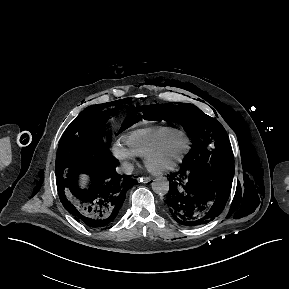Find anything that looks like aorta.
<instances>
[{"mask_svg": "<svg viewBox=\"0 0 289 289\" xmlns=\"http://www.w3.org/2000/svg\"><path fill=\"white\" fill-rule=\"evenodd\" d=\"M152 190L158 195H166L169 191L168 179L165 177H161L153 180Z\"/></svg>", "mask_w": 289, "mask_h": 289, "instance_id": "1", "label": "aorta"}]
</instances>
